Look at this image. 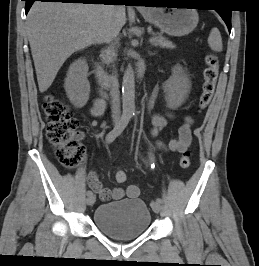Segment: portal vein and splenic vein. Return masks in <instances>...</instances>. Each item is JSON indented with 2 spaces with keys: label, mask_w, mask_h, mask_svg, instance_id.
Returning <instances> with one entry per match:
<instances>
[{
  "label": "portal vein and splenic vein",
  "mask_w": 259,
  "mask_h": 266,
  "mask_svg": "<svg viewBox=\"0 0 259 266\" xmlns=\"http://www.w3.org/2000/svg\"><path fill=\"white\" fill-rule=\"evenodd\" d=\"M150 42H154V38H151V39H150Z\"/></svg>",
  "instance_id": "18ae733b"
}]
</instances>
